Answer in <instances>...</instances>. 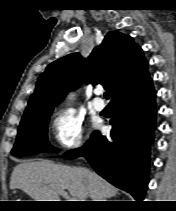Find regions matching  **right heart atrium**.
<instances>
[{"label":"right heart atrium","instance_id":"1","mask_svg":"<svg viewBox=\"0 0 176 211\" xmlns=\"http://www.w3.org/2000/svg\"><path fill=\"white\" fill-rule=\"evenodd\" d=\"M51 129L54 143L64 150H76L84 143V121L73 109L56 112Z\"/></svg>","mask_w":176,"mask_h":211}]
</instances>
